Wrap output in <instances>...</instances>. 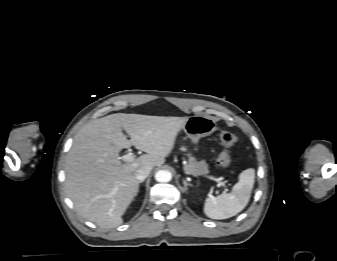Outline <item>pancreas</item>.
Returning a JSON list of instances; mask_svg holds the SVG:
<instances>
[{
  "mask_svg": "<svg viewBox=\"0 0 337 261\" xmlns=\"http://www.w3.org/2000/svg\"><path fill=\"white\" fill-rule=\"evenodd\" d=\"M186 174L194 176L206 175L209 173L208 164L206 161H197L194 157L189 156L188 163L184 166Z\"/></svg>",
  "mask_w": 337,
  "mask_h": 261,
  "instance_id": "cf45deb5",
  "label": "pancreas"
}]
</instances>
